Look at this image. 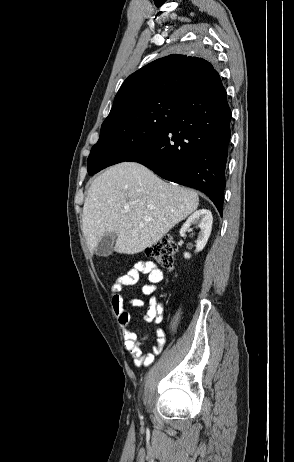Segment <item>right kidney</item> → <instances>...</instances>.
Segmentation results:
<instances>
[{
  "instance_id": "obj_1",
  "label": "right kidney",
  "mask_w": 294,
  "mask_h": 462,
  "mask_svg": "<svg viewBox=\"0 0 294 462\" xmlns=\"http://www.w3.org/2000/svg\"><path fill=\"white\" fill-rule=\"evenodd\" d=\"M213 217L212 213L207 209H200L194 212L184 223L180 230V236L184 237L186 230L192 225L197 224L200 228L198 239L196 241L195 252H200L206 246L212 230ZM184 257L189 259L191 255L188 252L184 253Z\"/></svg>"
}]
</instances>
